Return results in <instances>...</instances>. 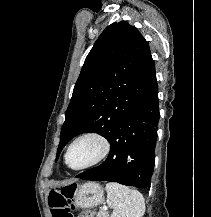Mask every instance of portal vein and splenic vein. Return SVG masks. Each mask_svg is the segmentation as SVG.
<instances>
[{
    "mask_svg": "<svg viewBox=\"0 0 211 217\" xmlns=\"http://www.w3.org/2000/svg\"><path fill=\"white\" fill-rule=\"evenodd\" d=\"M102 209L107 210V206H103Z\"/></svg>",
    "mask_w": 211,
    "mask_h": 217,
    "instance_id": "18ae733b",
    "label": "portal vein and splenic vein"
}]
</instances>
